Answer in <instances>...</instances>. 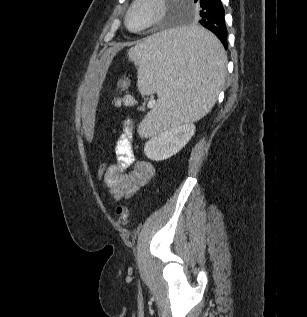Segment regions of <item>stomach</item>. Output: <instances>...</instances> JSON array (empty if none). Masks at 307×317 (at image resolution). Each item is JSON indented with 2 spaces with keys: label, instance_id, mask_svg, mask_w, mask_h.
<instances>
[{
  "label": "stomach",
  "instance_id": "obj_1",
  "mask_svg": "<svg viewBox=\"0 0 307 317\" xmlns=\"http://www.w3.org/2000/svg\"><path fill=\"white\" fill-rule=\"evenodd\" d=\"M120 86L123 87V88L126 87V82H122V83L120 84Z\"/></svg>",
  "mask_w": 307,
  "mask_h": 317
}]
</instances>
